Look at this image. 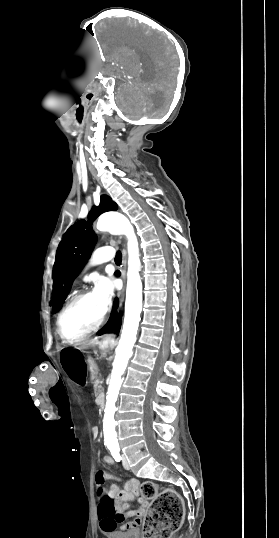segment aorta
<instances>
[{
	"label": "aorta",
	"instance_id": "762f6f07",
	"mask_svg": "<svg viewBox=\"0 0 279 538\" xmlns=\"http://www.w3.org/2000/svg\"><path fill=\"white\" fill-rule=\"evenodd\" d=\"M97 229L99 231H109L112 234L125 235L128 240V272L124 323L121 338L116 348L115 360L113 362L103 423L105 444L112 450L119 448L114 421V414L116 411L115 403L122 384V375L127 367L133 346L136 342L140 314L142 311V282L139 274L141 262L139 259V247L134 228L124 215L119 213H107L100 216L97 222Z\"/></svg>",
	"mask_w": 279,
	"mask_h": 538
}]
</instances>
